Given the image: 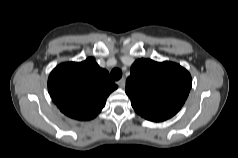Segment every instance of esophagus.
<instances>
[{
	"label": "esophagus",
	"instance_id": "esophagus-1",
	"mask_svg": "<svg viewBox=\"0 0 238 158\" xmlns=\"http://www.w3.org/2000/svg\"><path fill=\"white\" fill-rule=\"evenodd\" d=\"M117 85L121 88H124L125 87V83H126V80L125 78H121L120 80H118L117 82Z\"/></svg>",
	"mask_w": 238,
	"mask_h": 158
}]
</instances>
